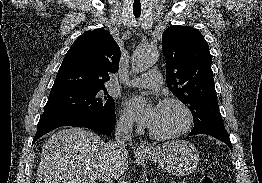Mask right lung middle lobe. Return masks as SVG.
Instances as JSON below:
<instances>
[{"label": "right lung middle lobe", "mask_w": 262, "mask_h": 183, "mask_svg": "<svg viewBox=\"0 0 262 183\" xmlns=\"http://www.w3.org/2000/svg\"><path fill=\"white\" fill-rule=\"evenodd\" d=\"M115 111V103L105 87L79 88L50 92L44 113L74 112L99 114Z\"/></svg>", "instance_id": "1"}]
</instances>
